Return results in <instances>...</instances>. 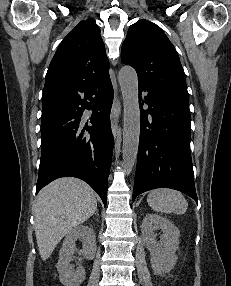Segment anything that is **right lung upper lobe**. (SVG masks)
Segmentation results:
<instances>
[{"instance_id": "right-lung-upper-lobe-1", "label": "right lung upper lobe", "mask_w": 231, "mask_h": 286, "mask_svg": "<svg viewBox=\"0 0 231 286\" xmlns=\"http://www.w3.org/2000/svg\"><path fill=\"white\" fill-rule=\"evenodd\" d=\"M109 78V61L94 19L81 21L59 45L46 74L42 109L58 108L80 88Z\"/></svg>"}]
</instances>
